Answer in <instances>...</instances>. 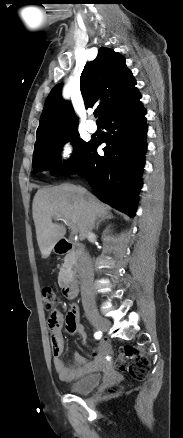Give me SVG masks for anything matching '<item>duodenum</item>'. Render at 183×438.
<instances>
[{"label":"duodenum","mask_w":183,"mask_h":438,"mask_svg":"<svg viewBox=\"0 0 183 438\" xmlns=\"http://www.w3.org/2000/svg\"><path fill=\"white\" fill-rule=\"evenodd\" d=\"M55 248L56 252L60 255L71 254L74 263L76 262L80 252L82 251L81 244L75 243L66 238L58 240ZM62 288L63 292L69 299L73 300L76 298L78 289L72 273L64 281Z\"/></svg>","instance_id":"410a0bca"}]
</instances>
